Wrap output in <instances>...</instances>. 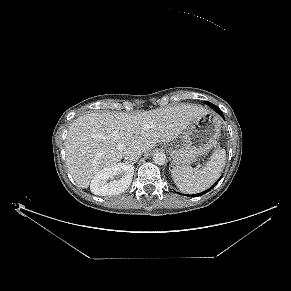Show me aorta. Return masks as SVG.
Wrapping results in <instances>:
<instances>
[{
  "mask_svg": "<svg viewBox=\"0 0 291 291\" xmlns=\"http://www.w3.org/2000/svg\"><path fill=\"white\" fill-rule=\"evenodd\" d=\"M153 161L157 165H163V164H165L166 161H167L165 153H163V152H156L153 155Z\"/></svg>",
  "mask_w": 291,
  "mask_h": 291,
  "instance_id": "aorta-1",
  "label": "aorta"
}]
</instances>
